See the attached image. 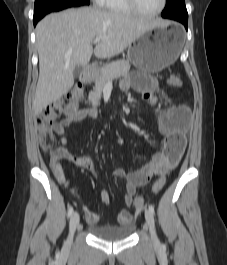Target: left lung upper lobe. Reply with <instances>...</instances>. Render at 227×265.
<instances>
[{
    "label": "left lung upper lobe",
    "mask_w": 227,
    "mask_h": 265,
    "mask_svg": "<svg viewBox=\"0 0 227 265\" xmlns=\"http://www.w3.org/2000/svg\"><path fill=\"white\" fill-rule=\"evenodd\" d=\"M162 17L169 19L188 18L184 0H167Z\"/></svg>",
    "instance_id": "1"
}]
</instances>
